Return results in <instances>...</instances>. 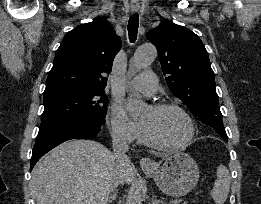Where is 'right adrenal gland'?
<instances>
[{
    "mask_svg": "<svg viewBox=\"0 0 261 204\" xmlns=\"http://www.w3.org/2000/svg\"><path fill=\"white\" fill-rule=\"evenodd\" d=\"M117 198V191L113 192L112 195H110L109 200H108V204L112 203L113 201H115Z\"/></svg>",
    "mask_w": 261,
    "mask_h": 204,
    "instance_id": "obj_1",
    "label": "right adrenal gland"
}]
</instances>
